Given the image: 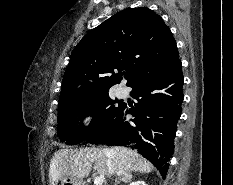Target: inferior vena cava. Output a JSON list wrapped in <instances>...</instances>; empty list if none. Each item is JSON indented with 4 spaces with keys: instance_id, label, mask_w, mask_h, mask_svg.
<instances>
[{
    "instance_id": "obj_1",
    "label": "inferior vena cava",
    "mask_w": 233,
    "mask_h": 185,
    "mask_svg": "<svg viewBox=\"0 0 233 185\" xmlns=\"http://www.w3.org/2000/svg\"><path fill=\"white\" fill-rule=\"evenodd\" d=\"M106 164H107L109 173L112 174L114 172V164H113L111 158L108 157Z\"/></svg>"
}]
</instances>
